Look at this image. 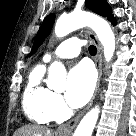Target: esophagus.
<instances>
[{"label":"esophagus","instance_id":"esophagus-1","mask_svg":"<svg viewBox=\"0 0 136 136\" xmlns=\"http://www.w3.org/2000/svg\"><path fill=\"white\" fill-rule=\"evenodd\" d=\"M87 34H88V37L91 39V41L97 47V55H96V58H95V64H96V67H97V70H98V80H97L95 94H94L93 99L91 100V102L89 103V105L86 107V109L83 112H81L74 119L70 120L69 122H67L63 125H61L58 128L59 133L70 134L74 130V128L76 127V125L78 124V122L80 121V119L82 118L84 113L91 107L93 100H94V98L97 94L99 85H100V80H101V75H102V51H101L102 48H101V45H100L99 40L97 39L96 35L91 30H87Z\"/></svg>","mask_w":136,"mask_h":136}]
</instances>
